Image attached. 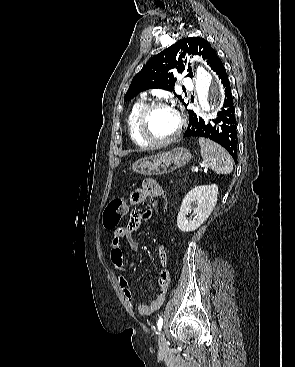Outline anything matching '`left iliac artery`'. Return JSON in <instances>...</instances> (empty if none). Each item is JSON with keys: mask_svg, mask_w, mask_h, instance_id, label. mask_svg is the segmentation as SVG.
Listing matches in <instances>:
<instances>
[{"mask_svg": "<svg viewBox=\"0 0 295 367\" xmlns=\"http://www.w3.org/2000/svg\"><path fill=\"white\" fill-rule=\"evenodd\" d=\"M162 325H163V319L162 318H159V320L157 322V327H158V330L159 331H161Z\"/></svg>", "mask_w": 295, "mask_h": 367, "instance_id": "obj_1", "label": "left iliac artery"}]
</instances>
